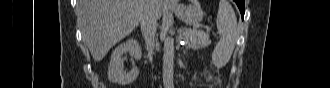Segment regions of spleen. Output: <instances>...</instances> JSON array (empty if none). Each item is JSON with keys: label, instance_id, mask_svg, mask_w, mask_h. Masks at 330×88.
<instances>
[{"label": "spleen", "instance_id": "spleen-1", "mask_svg": "<svg viewBox=\"0 0 330 88\" xmlns=\"http://www.w3.org/2000/svg\"><path fill=\"white\" fill-rule=\"evenodd\" d=\"M216 24L221 38L212 53V63L221 68L228 63L239 38L236 15L227 0L219 2Z\"/></svg>", "mask_w": 330, "mask_h": 88}]
</instances>
